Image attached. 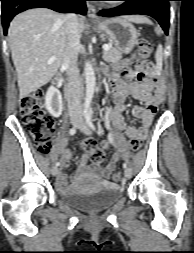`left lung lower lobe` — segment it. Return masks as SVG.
<instances>
[{
	"mask_svg": "<svg viewBox=\"0 0 194 253\" xmlns=\"http://www.w3.org/2000/svg\"><path fill=\"white\" fill-rule=\"evenodd\" d=\"M122 5L99 11L100 16L113 17L128 14L149 15L155 18L168 34L169 28V1L171 0H121Z\"/></svg>",
	"mask_w": 194,
	"mask_h": 253,
	"instance_id": "obj_1",
	"label": "left lung lower lobe"
}]
</instances>
